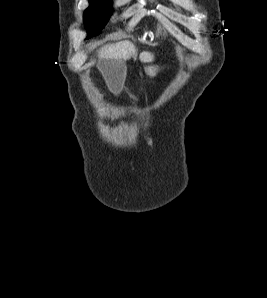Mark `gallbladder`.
<instances>
[{
    "label": "gallbladder",
    "mask_w": 267,
    "mask_h": 298,
    "mask_svg": "<svg viewBox=\"0 0 267 298\" xmlns=\"http://www.w3.org/2000/svg\"><path fill=\"white\" fill-rule=\"evenodd\" d=\"M123 65L120 61H114V60H107V59H101L98 62V67L101 71L105 73H123L124 69H116L115 66Z\"/></svg>",
    "instance_id": "bac80fb5"
}]
</instances>
